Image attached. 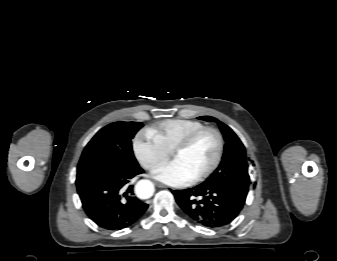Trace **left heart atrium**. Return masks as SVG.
<instances>
[{
    "label": "left heart atrium",
    "instance_id": "1",
    "mask_svg": "<svg viewBox=\"0 0 337 261\" xmlns=\"http://www.w3.org/2000/svg\"><path fill=\"white\" fill-rule=\"evenodd\" d=\"M153 176L168 185L182 187L193 181V176L176 160L165 163L153 171Z\"/></svg>",
    "mask_w": 337,
    "mask_h": 261
}]
</instances>
